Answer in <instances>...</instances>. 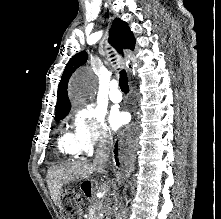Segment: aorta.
<instances>
[{"label": "aorta", "instance_id": "762f6f07", "mask_svg": "<svg viewBox=\"0 0 221 219\" xmlns=\"http://www.w3.org/2000/svg\"><path fill=\"white\" fill-rule=\"evenodd\" d=\"M95 91V79L89 74H79L73 81L72 95L78 100H87Z\"/></svg>", "mask_w": 221, "mask_h": 219}]
</instances>
